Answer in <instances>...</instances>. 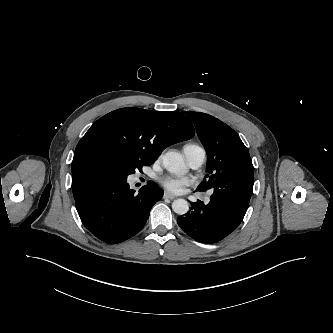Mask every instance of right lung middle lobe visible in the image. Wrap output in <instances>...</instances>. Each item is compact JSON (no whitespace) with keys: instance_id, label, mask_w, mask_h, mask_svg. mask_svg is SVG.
Instances as JSON below:
<instances>
[{"instance_id":"dd1d6c3e","label":"right lung middle lobe","mask_w":333,"mask_h":333,"mask_svg":"<svg viewBox=\"0 0 333 333\" xmlns=\"http://www.w3.org/2000/svg\"><path fill=\"white\" fill-rule=\"evenodd\" d=\"M152 163V161L127 160L115 155L96 153L89 155L83 166L94 168L110 177L127 179V176L134 173L136 169L141 170L143 166H149Z\"/></svg>"}]
</instances>
